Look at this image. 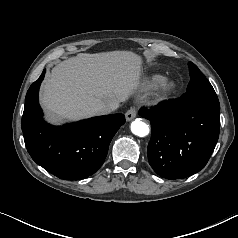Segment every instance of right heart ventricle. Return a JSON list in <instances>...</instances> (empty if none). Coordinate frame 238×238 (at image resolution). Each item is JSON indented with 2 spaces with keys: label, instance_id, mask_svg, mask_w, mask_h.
I'll return each mask as SVG.
<instances>
[{
  "label": "right heart ventricle",
  "instance_id": "right-heart-ventricle-1",
  "mask_svg": "<svg viewBox=\"0 0 238 238\" xmlns=\"http://www.w3.org/2000/svg\"><path fill=\"white\" fill-rule=\"evenodd\" d=\"M162 79H164V76L160 74H155L148 79L147 85L150 87L157 85Z\"/></svg>",
  "mask_w": 238,
  "mask_h": 238
}]
</instances>
